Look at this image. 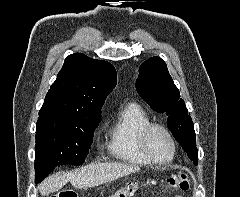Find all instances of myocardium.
Wrapping results in <instances>:
<instances>
[{
    "instance_id": "myocardium-1",
    "label": "myocardium",
    "mask_w": 240,
    "mask_h": 197,
    "mask_svg": "<svg viewBox=\"0 0 240 197\" xmlns=\"http://www.w3.org/2000/svg\"><path fill=\"white\" fill-rule=\"evenodd\" d=\"M155 129L162 130L167 135V137L169 138V140L172 144L171 157L165 161L156 159L154 157V155L152 154L150 147H149V136H150L151 132ZM139 144H140V148H141L143 154L145 155V157L151 163L160 165V166H165V165H169L170 163H172L173 160L175 159V156L177 153V143H176V140H175L172 132L170 131V129L167 126H165L164 124H161V123H157V122H150L149 124H147L146 126H144L142 128V130L140 131V134H139Z\"/></svg>"
}]
</instances>
